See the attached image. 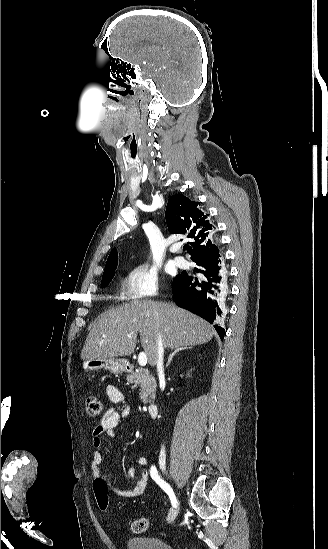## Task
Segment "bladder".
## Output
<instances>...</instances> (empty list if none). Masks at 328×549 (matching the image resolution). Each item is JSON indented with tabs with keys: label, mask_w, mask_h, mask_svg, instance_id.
<instances>
[{
	"label": "bladder",
	"mask_w": 328,
	"mask_h": 549,
	"mask_svg": "<svg viewBox=\"0 0 328 549\" xmlns=\"http://www.w3.org/2000/svg\"><path fill=\"white\" fill-rule=\"evenodd\" d=\"M127 549H173L170 543L159 538H145L136 536L129 539Z\"/></svg>",
	"instance_id": "31cf9c89"
}]
</instances>
